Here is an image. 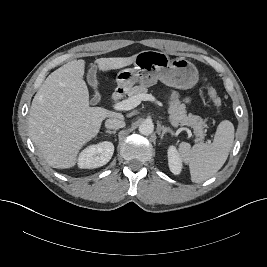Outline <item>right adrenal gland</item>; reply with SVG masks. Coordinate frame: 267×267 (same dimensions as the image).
<instances>
[{
    "instance_id": "2a0ac1e0",
    "label": "right adrenal gland",
    "mask_w": 267,
    "mask_h": 267,
    "mask_svg": "<svg viewBox=\"0 0 267 267\" xmlns=\"http://www.w3.org/2000/svg\"><path fill=\"white\" fill-rule=\"evenodd\" d=\"M105 133H108V134H115L116 131H115V130H114V131L106 130Z\"/></svg>"
}]
</instances>
